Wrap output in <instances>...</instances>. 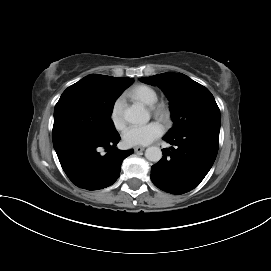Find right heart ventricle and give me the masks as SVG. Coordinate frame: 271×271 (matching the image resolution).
Returning <instances> with one entry per match:
<instances>
[{
    "mask_svg": "<svg viewBox=\"0 0 271 271\" xmlns=\"http://www.w3.org/2000/svg\"><path fill=\"white\" fill-rule=\"evenodd\" d=\"M129 95L147 106H153L158 101L155 89L148 85H138L130 90Z\"/></svg>",
    "mask_w": 271,
    "mask_h": 271,
    "instance_id": "e07e8e85",
    "label": "right heart ventricle"
}]
</instances>
